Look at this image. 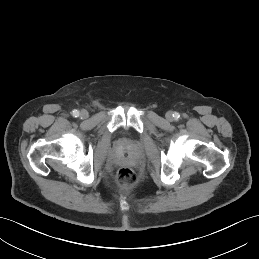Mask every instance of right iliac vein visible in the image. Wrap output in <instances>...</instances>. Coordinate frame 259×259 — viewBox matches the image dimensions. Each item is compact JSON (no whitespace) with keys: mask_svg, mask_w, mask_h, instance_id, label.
Returning a JSON list of instances; mask_svg holds the SVG:
<instances>
[{"mask_svg":"<svg viewBox=\"0 0 259 259\" xmlns=\"http://www.w3.org/2000/svg\"><path fill=\"white\" fill-rule=\"evenodd\" d=\"M88 116H89V114H88V112L86 110H81L80 117L82 119H86V118H88Z\"/></svg>","mask_w":259,"mask_h":259,"instance_id":"1","label":"right iliac vein"}]
</instances>
